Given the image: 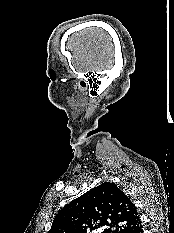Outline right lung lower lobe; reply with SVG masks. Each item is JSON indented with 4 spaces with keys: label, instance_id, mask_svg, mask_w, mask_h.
I'll return each mask as SVG.
<instances>
[{
    "label": "right lung lower lobe",
    "instance_id": "1",
    "mask_svg": "<svg viewBox=\"0 0 174 233\" xmlns=\"http://www.w3.org/2000/svg\"><path fill=\"white\" fill-rule=\"evenodd\" d=\"M135 233H143L142 226Z\"/></svg>",
    "mask_w": 174,
    "mask_h": 233
}]
</instances>
